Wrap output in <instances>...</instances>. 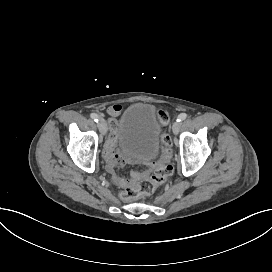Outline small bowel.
Wrapping results in <instances>:
<instances>
[{
  "label": "small bowel",
  "mask_w": 272,
  "mask_h": 272,
  "mask_svg": "<svg viewBox=\"0 0 272 272\" xmlns=\"http://www.w3.org/2000/svg\"><path fill=\"white\" fill-rule=\"evenodd\" d=\"M121 110H122V107L120 105L110 106L106 110V113L108 116L107 120H108L110 135H109V138H108L106 145H105L103 157L106 161V170L107 171H108V161L112 157H121L122 159H125L128 163L130 162L129 158H127L126 156H124L118 152V137H119L120 125L117 120V116L120 114ZM112 178H113V181L119 185V183H118L119 176L112 175Z\"/></svg>",
  "instance_id": "obj_1"
}]
</instances>
